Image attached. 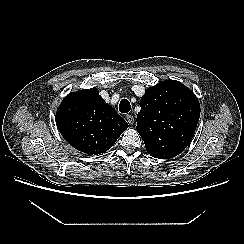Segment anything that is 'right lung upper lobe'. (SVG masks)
Listing matches in <instances>:
<instances>
[{"label": "right lung upper lobe", "mask_w": 244, "mask_h": 244, "mask_svg": "<svg viewBox=\"0 0 244 244\" xmlns=\"http://www.w3.org/2000/svg\"><path fill=\"white\" fill-rule=\"evenodd\" d=\"M56 123L69 144L89 155L107 151L128 127L96 88L67 95L57 108Z\"/></svg>", "instance_id": "1"}]
</instances>
